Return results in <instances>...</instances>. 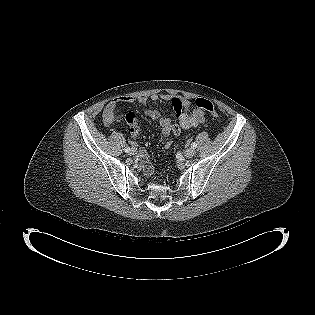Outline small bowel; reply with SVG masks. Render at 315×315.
<instances>
[{"instance_id":"1","label":"small bowel","mask_w":315,"mask_h":315,"mask_svg":"<svg viewBox=\"0 0 315 315\" xmlns=\"http://www.w3.org/2000/svg\"><path fill=\"white\" fill-rule=\"evenodd\" d=\"M148 101L153 102H169L173 107V113L175 120L172 121L168 117L161 116L160 112L155 109H144L145 115L153 120L159 121L161 131L164 136L171 134L179 135L183 130L196 127L205 120L204 110L196 107L191 108L190 101L180 95L159 93L152 94L150 96H122L118 99L111 101L105 108L103 113L104 122L111 124L114 120V110L119 102L134 103L136 102L140 106H145ZM138 125L131 128V134L136 136L138 134ZM170 142L165 144V148H169ZM138 161L143 167V171L146 176H150L153 173V166L149 161L147 155L144 152L138 154Z\"/></svg>"}]
</instances>
